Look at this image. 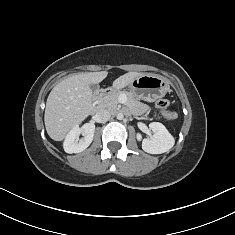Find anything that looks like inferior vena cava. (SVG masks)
<instances>
[{"instance_id": "obj_1", "label": "inferior vena cava", "mask_w": 235, "mask_h": 235, "mask_svg": "<svg viewBox=\"0 0 235 235\" xmlns=\"http://www.w3.org/2000/svg\"><path fill=\"white\" fill-rule=\"evenodd\" d=\"M96 117L100 122H106L110 119L111 113L108 109L100 108L96 113Z\"/></svg>"}]
</instances>
